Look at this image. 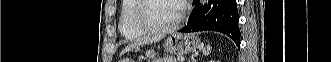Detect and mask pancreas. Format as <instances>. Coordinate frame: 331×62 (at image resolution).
<instances>
[{"label": "pancreas", "mask_w": 331, "mask_h": 62, "mask_svg": "<svg viewBox=\"0 0 331 62\" xmlns=\"http://www.w3.org/2000/svg\"><path fill=\"white\" fill-rule=\"evenodd\" d=\"M156 62H177V60L174 57H165V58L156 60Z\"/></svg>", "instance_id": "1"}]
</instances>
